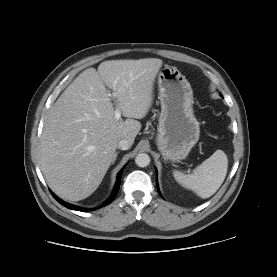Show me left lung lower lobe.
I'll return each instance as SVG.
<instances>
[{
	"mask_svg": "<svg viewBox=\"0 0 277 277\" xmlns=\"http://www.w3.org/2000/svg\"><path fill=\"white\" fill-rule=\"evenodd\" d=\"M157 190H158V192H159V194H160V191H159V189H158V186H157ZM161 195V194H160Z\"/></svg>",
	"mask_w": 277,
	"mask_h": 277,
	"instance_id": "1",
	"label": "left lung lower lobe"
}]
</instances>
